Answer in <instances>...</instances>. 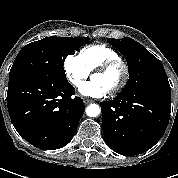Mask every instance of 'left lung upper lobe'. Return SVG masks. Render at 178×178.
Here are the masks:
<instances>
[{
  "mask_svg": "<svg viewBox=\"0 0 178 178\" xmlns=\"http://www.w3.org/2000/svg\"><path fill=\"white\" fill-rule=\"evenodd\" d=\"M108 43L117 48L128 63L129 80L121 92L152 86L171 89L161 62L145 47L131 38H108Z\"/></svg>",
  "mask_w": 178,
  "mask_h": 178,
  "instance_id": "5c2ea615",
  "label": "left lung upper lobe"
}]
</instances>
